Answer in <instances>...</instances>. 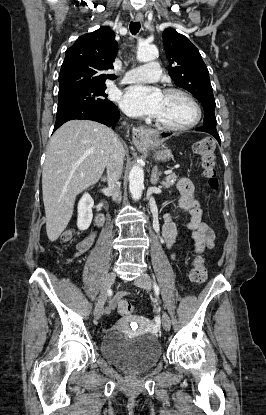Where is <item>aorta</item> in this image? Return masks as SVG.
I'll use <instances>...</instances> for the list:
<instances>
[{
  "instance_id": "aorta-1",
  "label": "aorta",
  "mask_w": 266,
  "mask_h": 415,
  "mask_svg": "<svg viewBox=\"0 0 266 415\" xmlns=\"http://www.w3.org/2000/svg\"><path fill=\"white\" fill-rule=\"evenodd\" d=\"M158 50L151 44H140L137 50V59L141 62L155 60ZM144 188V171L140 165H134L129 173V190L134 200H139Z\"/></svg>"
}]
</instances>
